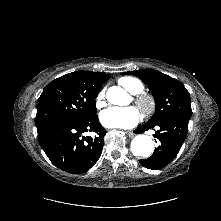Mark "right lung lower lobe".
Returning <instances> with one entry per match:
<instances>
[{
    "mask_svg": "<svg viewBox=\"0 0 221 221\" xmlns=\"http://www.w3.org/2000/svg\"><path fill=\"white\" fill-rule=\"evenodd\" d=\"M37 131L38 141L50 161L61 170L73 174L83 173L97 162L106 134L97 116L84 122L50 123ZM88 131L97 133V136H82Z\"/></svg>",
    "mask_w": 221,
    "mask_h": 221,
    "instance_id": "obj_1",
    "label": "right lung lower lobe"
}]
</instances>
